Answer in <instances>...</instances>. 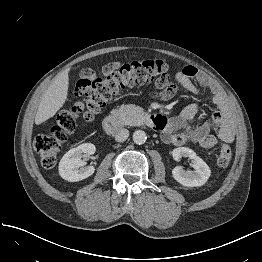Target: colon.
Listing matches in <instances>:
<instances>
[{
    "mask_svg": "<svg viewBox=\"0 0 262 262\" xmlns=\"http://www.w3.org/2000/svg\"><path fill=\"white\" fill-rule=\"evenodd\" d=\"M167 71L166 63L158 59H142L127 64L113 62L103 66L97 73L83 69L76 84V98L59 113L48 133L39 134L33 140L42 165L46 168L55 165L63 143L75 131L80 116L86 120L92 119L112 96L128 87L153 83L159 90L167 88L170 85ZM231 158L230 147L220 142L216 165L224 169L230 164Z\"/></svg>",
    "mask_w": 262,
    "mask_h": 262,
    "instance_id": "5ec220e1",
    "label": "colon"
}]
</instances>
